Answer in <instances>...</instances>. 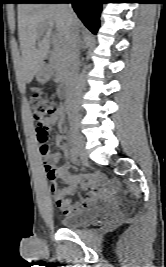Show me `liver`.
<instances>
[{
  "label": "liver",
  "mask_w": 166,
  "mask_h": 267,
  "mask_svg": "<svg viewBox=\"0 0 166 267\" xmlns=\"http://www.w3.org/2000/svg\"><path fill=\"white\" fill-rule=\"evenodd\" d=\"M17 8L21 51L18 73L22 82L28 84L33 80L49 54L50 35L54 25L60 39L67 42V21L60 4L23 3Z\"/></svg>",
  "instance_id": "1"
}]
</instances>
